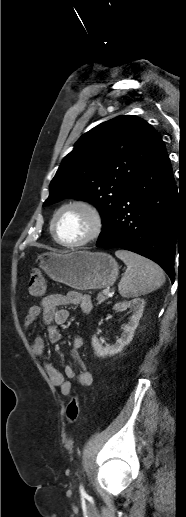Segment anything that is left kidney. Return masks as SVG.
Returning a JSON list of instances; mask_svg holds the SVG:
<instances>
[{
    "label": "left kidney",
    "instance_id": "1",
    "mask_svg": "<svg viewBox=\"0 0 186 517\" xmlns=\"http://www.w3.org/2000/svg\"><path fill=\"white\" fill-rule=\"evenodd\" d=\"M144 305L145 301L141 298H136L131 301L119 302L114 305L113 309L116 311L126 310L129 308L130 312H132V316L130 317L129 322L123 327V333L121 334V337L116 340L115 344L103 347L96 335L92 337V347L98 357L117 354L132 341L134 331L138 326L140 318L142 317Z\"/></svg>",
    "mask_w": 186,
    "mask_h": 517
}]
</instances>
